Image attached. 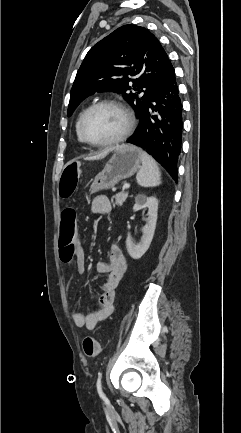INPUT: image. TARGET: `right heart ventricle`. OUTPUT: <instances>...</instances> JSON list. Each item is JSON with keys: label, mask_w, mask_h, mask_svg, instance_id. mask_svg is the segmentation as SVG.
<instances>
[{"label": "right heart ventricle", "mask_w": 241, "mask_h": 433, "mask_svg": "<svg viewBox=\"0 0 241 433\" xmlns=\"http://www.w3.org/2000/svg\"><path fill=\"white\" fill-rule=\"evenodd\" d=\"M83 112H84V111H81V112L79 113L78 118H77V121H76V126H75V128H76V135H77V138H78V141H79V142H83V141L81 140V138H80V135H79V121H80V118H81Z\"/></svg>", "instance_id": "1"}]
</instances>
